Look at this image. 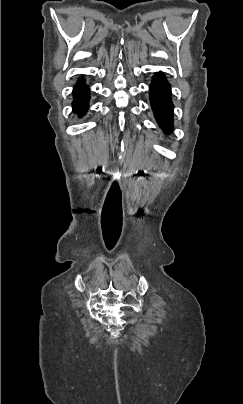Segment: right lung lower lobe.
I'll list each match as a JSON object with an SVG mask.
<instances>
[{"label":"right lung lower lobe","instance_id":"98d812e1","mask_svg":"<svg viewBox=\"0 0 243 404\" xmlns=\"http://www.w3.org/2000/svg\"><path fill=\"white\" fill-rule=\"evenodd\" d=\"M89 86L85 84V79L80 78L73 89V111L82 116L88 109Z\"/></svg>","mask_w":243,"mask_h":404}]
</instances>
